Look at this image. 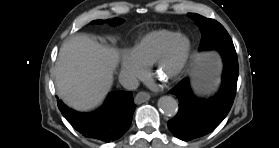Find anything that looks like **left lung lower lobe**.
<instances>
[{"label":"left lung lower lobe","instance_id":"obj_1","mask_svg":"<svg viewBox=\"0 0 279 148\" xmlns=\"http://www.w3.org/2000/svg\"><path fill=\"white\" fill-rule=\"evenodd\" d=\"M224 62L222 86L209 99L192 94L188 78L183 79L170 93L179 100L177 115L168 121L169 130L179 139L188 141L212 132L227 116L233 104L239 75L234 45L217 49Z\"/></svg>","mask_w":279,"mask_h":148}]
</instances>
